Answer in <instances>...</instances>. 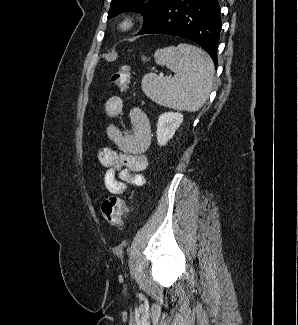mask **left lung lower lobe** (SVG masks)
<instances>
[{
  "label": "left lung lower lobe",
  "mask_w": 298,
  "mask_h": 325,
  "mask_svg": "<svg viewBox=\"0 0 298 325\" xmlns=\"http://www.w3.org/2000/svg\"><path fill=\"white\" fill-rule=\"evenodd\" d=\"M221 30L218 0H168L138 33L166 34L199 44L217 65Z\"/></svg>",
  "instance_id": "1"
}]
</instances>
